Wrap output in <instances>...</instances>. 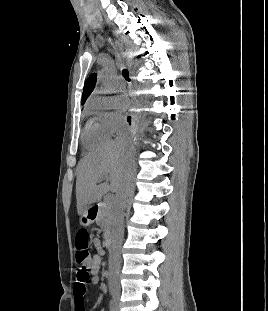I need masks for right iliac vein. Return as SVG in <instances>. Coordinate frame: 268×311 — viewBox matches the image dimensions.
I'll return each mask as SVG.
<instances>
[{
    "label": "right iliac vein",
    "instance_id": "1",
    "mask_svg": "<svg viewBox=\"0 0 268 311\" xmlns=\"http://www.w3.org/2000/svg\"><path fill=\"white\" fill-rule=\"evenodd\" d=\"M110 294H111V296H112V299H113V301H114V303H115V306H116V309H117V311H118V308H119V298H120V290L119 289H117V288H111L110 289Z\"/></svg>",
    "mask_w": 268,
    "mask_h": 311
}]
</instances>
